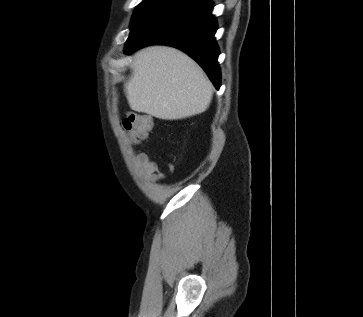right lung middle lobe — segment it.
<instances>
[{
    "mask_svg": "<svg viewBox=\"0 0 363 317\" xmlns=\"http://www.w3.org/2000/svg\"><path fill=\"white\" fill-rule=\"evenodd\" d=\"M182 1L184 0H144L141 2L134 12L131 33L127 42L135 40L156 18Z\"/></svg>",
    "mask_w": 363,
    "mask_h": 317,
    "instance_id": "obj_1",
    "label": "right lung middle lobe"
}]
</instances>
